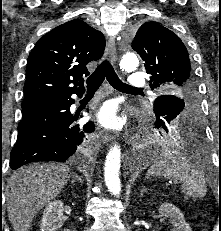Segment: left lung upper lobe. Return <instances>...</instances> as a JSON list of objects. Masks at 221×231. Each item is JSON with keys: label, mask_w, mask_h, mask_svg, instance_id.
<instances>
[{"label": "left lung upper lobe", "mask_w": 221, "mask_h": 231, "mask_svg": "<svg viewBox=\"0 0 221 231\" xmlns=\"http://www.w3.org/2000/svg\"><path fill=\"white\" fill-rule=\"evenodd\" d=\"M132 48L141 56L146 72L151 75V89L172 96L173 102L168 104L155 100L156 122L162 113L174 117L185 104H195L197 89L192 61L174 32L156 22H146L137 30Z\"/></svg>", "instance_id": "obj_1"}]
</instances>
